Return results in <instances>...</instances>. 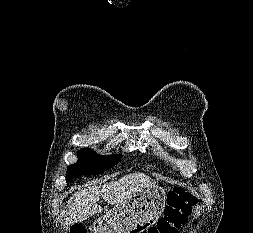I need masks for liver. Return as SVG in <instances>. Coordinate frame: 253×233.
<instances>
[{
	"label": "liver",
	"mask_w": 253,
	"mask_h": 233,
	"mask_svg": "<svg viewBox=\"0 0 253 233\" xmlns=\"http://www.w3.org/2000/svg\"><path fill=\"white\" fill-rule=\"evenodd\" d=\"M155 184L156 181L151 177L142 173H133L102 186H91L79 190L67 202L65 227L101 213L103 208L97 204L100 197L108 204H118L138 190Z\"/></svg>",
	"instance_id": "6515ba94"
}]
</instances>
